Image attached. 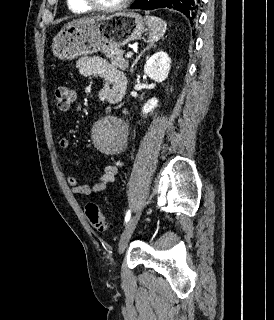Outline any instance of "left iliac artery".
<instances>
[{"label": "left iliac artery", "instance_id": "1", "mask_svg": "<svg viewBox=\"0 0 274 320\" xmlns=\"http://www.w3.org/2000/svg\"><path fill=\"white\" fill-rule=\"evenodd\" d=\"M130 217H131V212H130V210H128L125 215V223H127L130 220Z\"/></svg>", "mask_w": 274, "mask_h": 320}]
</instances>
